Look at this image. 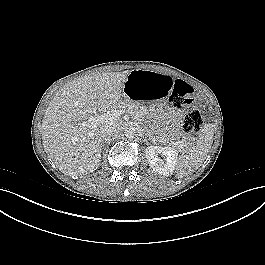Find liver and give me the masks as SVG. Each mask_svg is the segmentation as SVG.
Here are the masks:
<instances>
[{"label": "liver", "mask_w": 265, "mask_h": 265, "mask_svg": "<svg viewBox=\"0 0 265 265\" xmlns=\"http://www.w3.org/2000/svg\"><path fill=\"white\" fill-rule=\"evenodd\" d=\"M130 71L84 76L67 83L50 102L42 122L44 150L65 175H83L100 165L101 128L83 126L96 110L119 102Z\"/></svg>", "instance_id": "1"}]
</instances>
